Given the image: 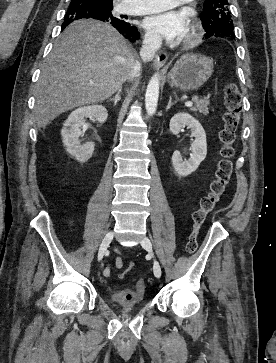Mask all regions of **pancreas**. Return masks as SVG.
Segmentation results:
<instances>
[{
	"instance_id": "obj_1",
	"label": "pancreas",
	"mask_w": 276,
	"mask_h": 363,
	"mask_svg": "<svg viewBox=\"0 0 276 363\" xmlns=\"http://www.w3.org/2000/svg\"><path fill=\"white\" fill-rule=\"evenodd\" d=\"M193 101L196 103L194 107H192L190 110L193 112H197L199 111V113L203 114V115H208L209 114V100H207L206 98L204 99H199L198 97H194Z\"/></svg>"
}]
</instances>
